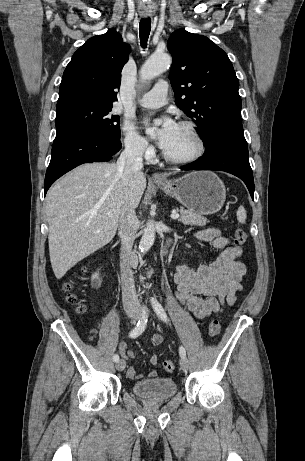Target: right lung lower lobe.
<instances>
[{
	"label": "right lung lower lobe",
	"mask_w": 305,
	"mask_h": 461,
	"mask_svg": "<svg viewBox=\"0 0 305 461\" xmlns=\"http://www.w3.org/2000/svg\"><path fill=\"white\" fill-rule=\"evenodd\" d=\"M121 148L120 140L95 134L65 133L56 136L45 176V194L66 172L83 163L109 161Z\"/></svg>",
	"instance_id": "1"
}]
</instances>
